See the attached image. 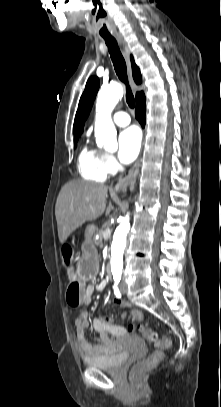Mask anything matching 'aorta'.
I'll use <instances>...</instances> for the list:
<instances>
[{
	"label": "aorta",
	"mask_w": 221,
	"mask_h": 407,
	"mask_svg": "<svg viewBox=\"0 0 221 407\" xmlns=\"http://www.w3.org/2000/svg\"><path fill=\"white\" fill-rule=\"evenodd\" d=\"M123 96V88L114 83L102 88L97 96L95 116V137L98 146L109 150L116 146V129L112 122L111 113ZM130 229L129 214L120 219L111 245V272L113 279L119 281L123 269V253L126 247V237Z\"/></svg>",
	"instance_id": "obj_1"
}]
</instances>
